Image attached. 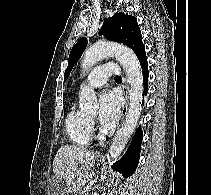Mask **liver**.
<instances>
[{"label": "liver", "instance_id": "6515ba94", "mask_svg": "<svg viewBox=\"0 0 211 195\" xmlns=\"http://www.w3.org/2000/svg\"><path fill=\"white\" fill-rule=\"evenodd\" d=\"M93 166V151L75 145H63L54 158L53 173L65 182L72 193L81 190L90 181ZM59 191L65 193V189Z\"/></svg>", "mask_w": 211, "mask_h": 195}]
</instances>
